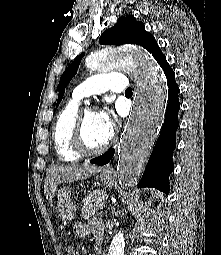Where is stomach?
<instances>
[{
  "mask_svg": "<svg viewBox=\"0 0 221 255\" xmlns=\"http://www.w3.org/2000/svg\"><path fill=\"white\" fill-rule=\"evenodd\" d=\"M101 181L109 188L117 185V178L114 174L103 173ZM76 202L71 195V190L68 187H63L57 192L56 213L62 222H70L76 215L77 211Z\"/></svg>",
  "mask_w": 221,
  "mask_h": 255,
  "instance_id": "obj_1",
  "label": "stomach"
}]
</instances>
